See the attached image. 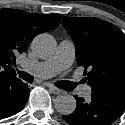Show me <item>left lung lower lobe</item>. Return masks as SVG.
I'll return each instance as SVG.
<instances>
[{"label": "left lung lower lobe", "instance_id": "0a47b994", "mask_svg": "<svg viewBox=\"0 0 125 125\" xmlns=\"http://www.w3.org/2000/svg\"><path fill=\"white\" fill-rule=\"evenodd\" d=\"M74 97L75 111L62 116L70 125H110L125 109V96L115 93H92L89 101Z\"/></svg>", "mask_w": 125, "mask_h": 125}]
</instances>
